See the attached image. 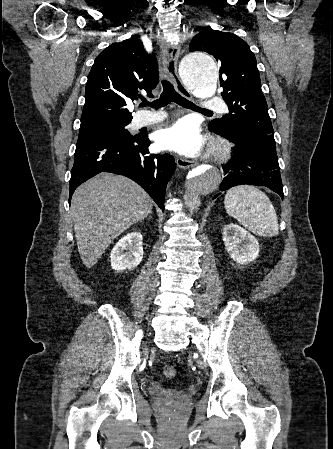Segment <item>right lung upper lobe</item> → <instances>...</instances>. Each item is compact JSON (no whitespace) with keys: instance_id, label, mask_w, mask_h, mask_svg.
<instances>
[{"instance_id":"cb5924a9","label":"right lung upper lobe","mask_w":333,"mask_h":449,"mask_svg":"<svg viewBox=\"0 0 333 449\" xmlns=\"http://www.w3.org/2000/svg\"><path fill=\"white\" fill-rule=\"evenodd\" d=\"M158 83L157 60L140 39L113 43L95 59L88 75L80 128L131 121L126 102L137 100L138 89L148 95Z\"/></svg>"}]
</instances>
